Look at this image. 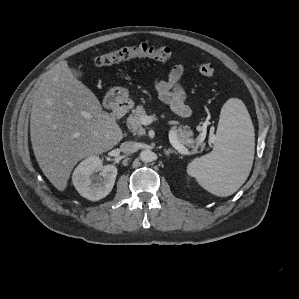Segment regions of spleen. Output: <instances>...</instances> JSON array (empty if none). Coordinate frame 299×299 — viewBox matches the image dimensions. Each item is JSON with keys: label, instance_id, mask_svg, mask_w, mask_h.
Masks as SVG:
<instances>
[{"label": "spleen", "instance_id": "spleen-1", "mask_svg": "<svg viewBox=\"0 0 299 299\" xmlns=\"http://www.w3.org/2000/svg\"><path fill=\"white\" fill-rule=\"evenodd\" d=\"M255 134L244 103L230 98L223 105L211 153L194 159L187 173L210 193L227 197L246 181L252 168Z\"/></svg>", "mask_w": 299, "mask_h": 299}]
</instances>
